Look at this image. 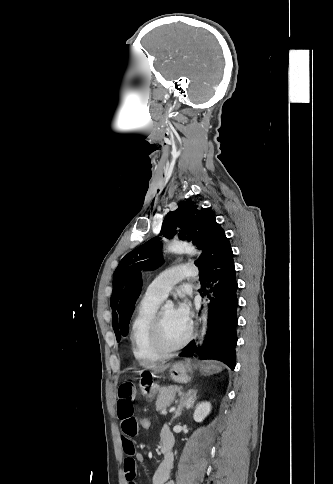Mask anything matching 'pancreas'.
<instances>
[{
  "mask_svg": "<svg viewBox=\"0 0 333 484\" xmlns=\"http://www.w3.org/2000/svg\"><path fill=\"white\" fill-rule=\"evenodd\" d=\"M177 393L178 394L181 393V387L168 386V387L161 388L160 393L156 400V411L159 412L160 414H164L163 412L175 400Z\"/></svg>",
  "mask_w": 333,
  "mask_h": 484,
  "instance_id": "1",
  "label": "pancreas"
}]
</instances>
